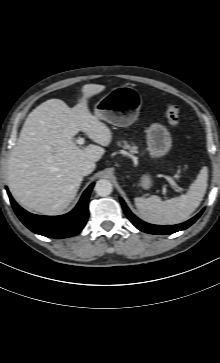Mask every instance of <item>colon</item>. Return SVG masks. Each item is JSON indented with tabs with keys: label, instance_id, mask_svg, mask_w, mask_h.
<instances>
[{
	"label": "colon",
	"instance_id": "colon-1",
	"mask_svg": "<svg viewBox=\"0 0 220 363\" xmlns=\"http://www.w3.org/2000/svg\"><path fill=\"white\" fill-rule=\"evenodd\" d=\"M166 117L171 127H177L180 121L179 107L176 105H169L166 109Z\"/></svg>",
	"mask_w": 220,
	"mask_h": 363
}]
</instances>
